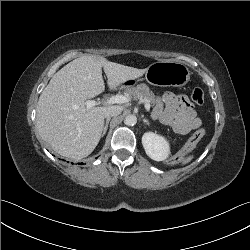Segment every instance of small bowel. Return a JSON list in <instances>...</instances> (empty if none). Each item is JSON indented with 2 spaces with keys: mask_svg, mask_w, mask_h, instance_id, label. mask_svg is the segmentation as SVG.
<instances>
[{
  "mask_svg": "<svg viewBox=\"0 0 250 250\" xmlns=\"http://www.w3.org/2000/svg\"><path fill=\"white\" fill-rule=\"evenodd\" d=\"M153 116L160 123L172 127L178 134H187L201 124L187 96L171 92L165 93L157 101Z\"/></svg>",
  "mask_w": 250,
  "mask_h": 250,
  "instance_id": "obj_1",
  "label": "small bowel"
}]
</instances>
